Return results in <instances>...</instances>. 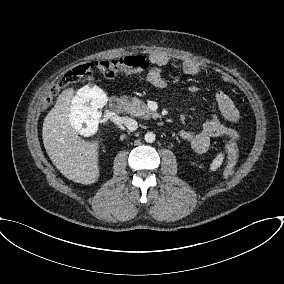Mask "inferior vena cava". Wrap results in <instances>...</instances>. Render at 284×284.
Here are the masks:
<instances>
[{
  "instance_id": "inferior-vena-cava-1",
  "label": "inferior vena cava",
  "mask_w": 284,
  "mask_h": 284,
  "mask_svg": "<svg viewBox=\"0 0 284 284\" xmlns=\"http://www.w3.org/2000/svg\"><path fill=\"white\" fill-rule=\"evenodd\" d=\"M122 123L127 127L130 131H135L138 128L137 121L130 117H123Z\"/></svg>"
}]
</instances>
